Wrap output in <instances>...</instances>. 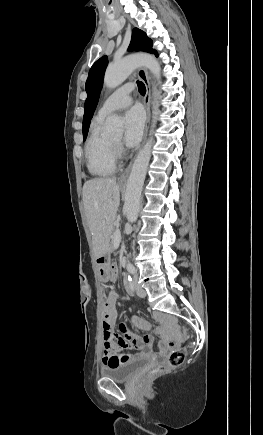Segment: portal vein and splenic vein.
Masks as SVG:
<instances>
[{"label":"portal vein and splenic vein","instance_id":"18ae733b","mask_svg":"<svg viewBox=\"0 0 263 435\" xmlns=\"http://www.w3.org/2000/svg\"><path fill=\"white\" fill-rule=\"evenodd\" d=\"M121 239V232L119 229H116L114 232V240L119 241Z\"/></svg>","mask_w":263,"mask_h":435}]
</instances>
